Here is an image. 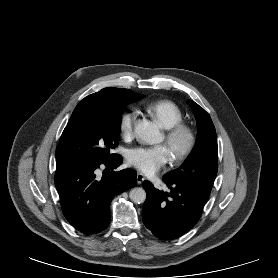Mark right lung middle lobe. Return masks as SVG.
Listing matches in <instances>:
<instances>
[{
    "label": "right lung middle lobe",
    "instance_id": "1",
    "mask_svg": "<svg viewBox=\"0 0 278 278\" xmlns=\"http://www.w3.org/2000/svg\"><path fill=\"white\" fill-rule=\"evenodd\" d=\"M143 97L144 95L139 94L131 99L107 103L80 101L57 145V169L117 157L118 154L110 152L119 141L123 111L129 103Z\"/></svg>",
    "mask_w": 278,
    "mask_h": 278
}]
</instances>
